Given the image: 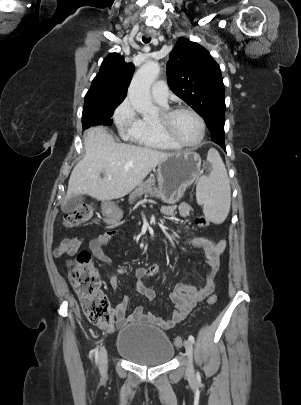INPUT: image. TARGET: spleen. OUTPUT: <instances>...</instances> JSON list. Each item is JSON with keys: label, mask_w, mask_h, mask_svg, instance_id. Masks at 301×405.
<instances>
[{"label": "spleen", "mask_w": 301, "mask_h": 405, "mask_svg": "<svg viewBox=\"0 0 301 405\" xmlns=\"http://www.w3.org/2000/svg\"><path fill=\"white\" fill-rule=\"evenodd\" d=\"M212 169L202 176L197 185L198 202L204 205V214L214 223H222L228 216L231 204V189L225 165L214 148L207 155Z\"/></svg>", "instance_id": "obj_1"}]
</instances>
